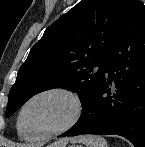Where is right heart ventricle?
<instances>
[{"instance_id": "1", "label": "right heart ventricle", "mask_w": 145, "mask_h": 147, "mask_svg": "<svg viewBox=\"0 0 145 147\" xmlns=\"http://www.w3.org/2000/svg\"><path fill=\"white\" fill-rule=\"evenodd\" d=\"M18 134L21 138L26 139V140H30L29 138H27L23 133L18 131Z\"/></svg>"}]
</instances>
